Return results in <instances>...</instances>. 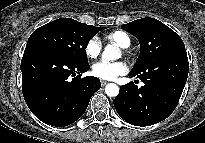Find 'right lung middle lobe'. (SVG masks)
Wrapping results in <instances>:
<instances>
[{"mask_svg": "<svg viewBox=\"0 0 205 143\" xmlns=\"http://www.w3.org/2000/svg\"><path fill=\"white\" fill-rule=\"evenodd\" d=\"M105 27L86 25L71 18L56 19L31 34L27 44L37 43L57 51L67 60L88 64L86 47L90 39Z\"/></svg>", "mask_w": 205, "mask_h": 143, "instance_id": "dd1d6c3e", "label": "right lung middle lobe"}]
</instances>
